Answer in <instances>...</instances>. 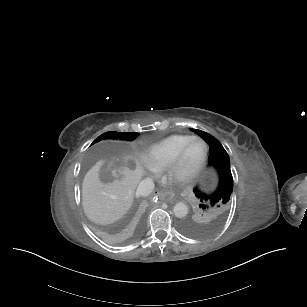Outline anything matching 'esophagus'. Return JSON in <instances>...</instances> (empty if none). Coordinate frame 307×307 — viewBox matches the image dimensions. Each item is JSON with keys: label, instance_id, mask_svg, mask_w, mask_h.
I'll return each instance as SVG.
<instances>
[{"label": "esophagus", "instance_id": "obj_1", "mask_svg": "<svg viewBox=\"0 0 307 307\" xmlns=\"http://www.w3.org/2000/svg\"><path fill=\"white\" fill-rule=\"evenodd\" d=\"M157 196L161 201H170L174 197V193L157 192Z\"/></svg>", "mask_w": 307, "mask_h": 307}]
</instances>
